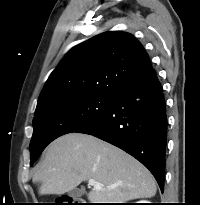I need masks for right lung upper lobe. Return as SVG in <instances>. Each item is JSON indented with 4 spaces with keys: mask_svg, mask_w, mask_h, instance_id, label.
<instances>
[{
    "mask_svg": "<svg viewBox=\"0 0 200 205\" xmlns=\"http://www.w3.org/2000/svg\"><path fill=\"white\" fill-rule=\"evenodd\" d=\"M152 70L149 56L131 34L110 31L73 47L49 76L35 113L78 96L115 97Z\"/></svg>",
    "mask_w": 200,
    "mask_h": 205,
    "instance_id": "cb5924a9",
    "label": "right lung upper lobe"
}]
</instances>
